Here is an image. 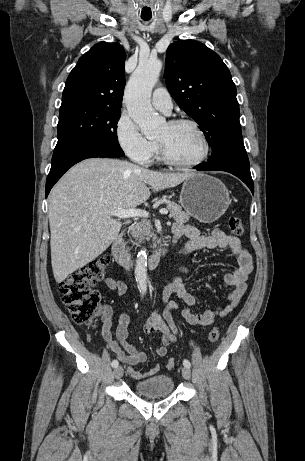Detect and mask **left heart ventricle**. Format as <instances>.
I'll list each match as a JSON object with an SVG mask.
<instances>
[{
	"label": "left heart ventricle",
	"mask_w": 305,
	"mask_h": 461,
	"mask_svg": "<svg viewBox=\"0 0 305 461\" xmlns=\"http://www.w3.org/2000/svg\"><path fill=\"white\" fill-rule=\"evenodd\" d=\"M157 140L165 145L174 159L181 162L194 161L203 152L200 136L189 125L170 126L167 123Z\"/></svg>",
	"instance_id": "obj_1"
}]
</instances>
